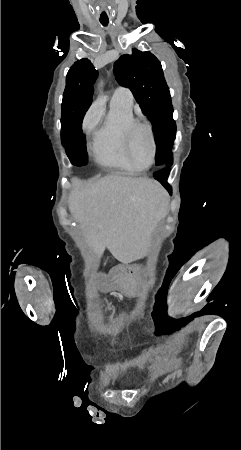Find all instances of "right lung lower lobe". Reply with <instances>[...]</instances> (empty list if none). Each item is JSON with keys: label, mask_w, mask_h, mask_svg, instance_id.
I'll return each instance as SVG.
<instances>
[{"label": "right lung lower lobe", "mask_w": 241, "mask_h": 450, "mask_svg": "<svg viewBox=\"0 0 241 450\" xmlns=\"http://www.w3.org/2000/svg\"><path fill=\"white\" fill-rule=\"evenodd\" d=\"M84 114L80 115L78 118L75 119L66 136L67 155L79 154L80 152L86 151L85 142L83 141L81 129Z\"/></svg>", "instance_id": "98d812e1"}]
</instances>
